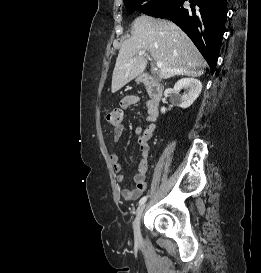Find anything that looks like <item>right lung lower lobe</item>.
<instances>
[{
  "mask_svg": "<svg viewBox=\"0 0 261 273\" xmlns=\"http://www.w3.org/2000/svg\"><path fill=\"white\" fill-rule=\"evenodd\" d=\"M172 0L151 16L171 19L194 42L213 74L225 32L227 0Z\"/></svg>",
  "mask_w": 261,
  "mask_h": 273,
  "instance_id": "1",
  "label": "right lung lower lobe"
}]
</instances>
